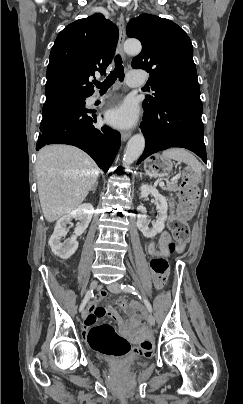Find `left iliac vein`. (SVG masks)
<instances>
[{
  "instance_id": "1",
  "label": "left iliac vein",
  "mask_w": 243,
  "mask_h": 404,
  "mask_svg": "<svg viewBox=\"0 0 243 404\" xmlns=\"http://www.w3.org/2000/svg\"><path fill=\"white\" fill-rule=\"evenodd\" d=\"M108 290L111 291L112 293H120V284L118 282L111 283L107 286ZM147 322L151 325L154 326L155 324V319L151 313H147Z\"/></svg>"
}]
</instances>
